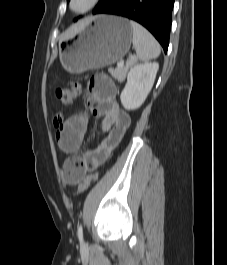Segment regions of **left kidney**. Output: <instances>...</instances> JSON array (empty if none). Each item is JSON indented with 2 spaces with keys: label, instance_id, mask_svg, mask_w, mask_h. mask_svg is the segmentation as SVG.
<instances>
[{
  "label": "left kidney",
  "instance_id": "5707ae66",
  "mask_svg": "<svg viewBox=\"0 0 227 265\" xmlns=\"http://www.w3.org/2000/svg\"><path fill=\"white\" fill-rule=\"evenodd\" d=\"M159 64L144 63L133 66L127 76V83L120 99L126 110L138 109L146 100L154 84Z\"/></svg>",
  "mask_w": 227,
  "mask_h": 265
}]
</instances>
